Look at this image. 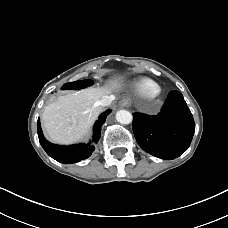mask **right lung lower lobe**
<instances>
[{
	"instance_id": "obj_1",
	"label": "right lung lower lobe",
	"mask_w": 228,
	"mask_h": 228,
	"mask_svg": "<svg viewBox=\"0 0 228 228\" xmlns=\"http://www.w3.org/2000/svg\"><path fill=\"white\" fill-rule=\"evenodd\" d=\"M110 113V110L105 111L102 113L98 120L96 121L94 125V135H93V143H96L100 138L101 133V126L104 124L107 115ZM37 131H38V137L39 141L41 143V146L46 151V153L52 157L53 159L57 160L61 163H76L81 160H84L88 158L92 152L95 150V145L92 144V142L88 144H78V145H71V146H59L50 143L46 140L42 133L40 121L38 119L37 122Z\"/></svg>"
}]
</instances>
